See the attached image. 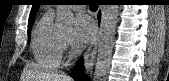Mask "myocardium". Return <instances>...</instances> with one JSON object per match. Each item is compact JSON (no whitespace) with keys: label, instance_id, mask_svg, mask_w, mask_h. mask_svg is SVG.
<instances>
[{"label":"myocardium","instance_id":"obj_1","mask_svg":"<svg viewBox=\"0 0 169 81\" xmlns=\"http://www.w3.org/2000/svg\"><path fill=\"white\" fill-rule=\"evenodd\" d=\"M66 40V37H62V42H65Z\"/></svg>","mask_w":169,"mask_h":81}]
</instances>
